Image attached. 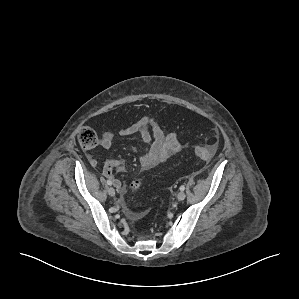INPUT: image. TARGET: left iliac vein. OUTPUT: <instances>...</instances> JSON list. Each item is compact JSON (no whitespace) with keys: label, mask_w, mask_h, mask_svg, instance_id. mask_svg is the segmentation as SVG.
<instances>
[{"label":"left iliac vein","mask_w":299,"mask_h":299,"mask_svg":"<svg viewBox=\"0 0 299 299\" xmlns=\"http://www.w3.org/2000/svg\"><path fill=\"white\" fill-rule=\"evenodd\" d=\"M185 197H186V194L183 191H181L177 194L178 201H183L185 199Z\"/></svg>","instance_id":"4c4485c4"}]
</instances>
